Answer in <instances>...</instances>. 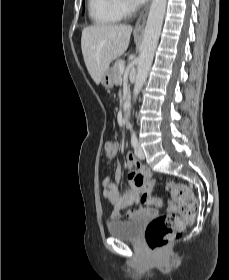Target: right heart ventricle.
<instances>
[{
    "mask_svg": "<svg viewBox=\"0 0 229 280\" xmlns=\"http://www.w3.org/2000/svg\"><path fill=\"white\" fill-rule=\"evenodd\" d=\"M88 13L93 24L101 27L112 26L123 16L116 0H88Z\"/></svg>",
    "mask_w": 229,
    "mask_h": 280,
    "instance_id": "right-heart-ventricle-1",
    "label": "right heart ventricle"
}]
</instances>
